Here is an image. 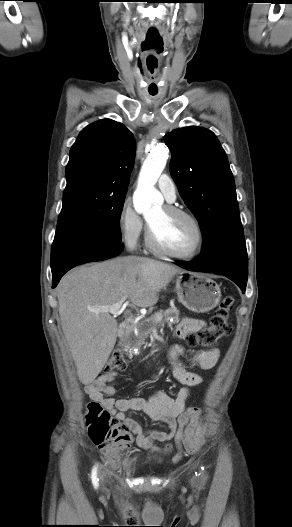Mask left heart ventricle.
<instances>
[{
    "mask_svg": "<svg viewBox=\"0 0 292 527\" xmlns=\"http://www.w3.org/2000/svg\"><path fill=\"white\" fill-rule=\"evenodd\" d=\"M147 221L157 241L165 248L178 253H186L193 248L197 235L188 218L168 213L161 206L148 214Z\"/></svg>",
    "mask_w": 292,
    "mask_h": 527,
    "instance_id": "1",
    "label": "left heart ventricle"
}]
</instances>
